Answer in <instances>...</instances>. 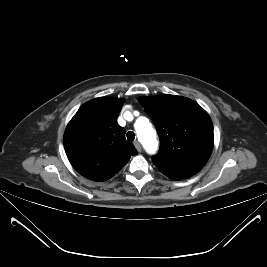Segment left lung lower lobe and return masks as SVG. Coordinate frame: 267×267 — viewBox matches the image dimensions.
Listing matches in <instances>:
<instances>
[{
    "instance_id": "obj_1",
    "label": "left lung lower lobe",
    "mask_w": 267,
    "mask_h": 267,
    "mask_svg": "<svg viewBox=\"0 0 267 267\" xmlns=\"http://www.w3.org/2000/svg\"><path fill=\"white\" fill-rule=\"evenodd\" d=\"M163 174H165V173H163ZM167 177H169L170 179H173V180H180V178H178V177H175V176H173V175H170V174H165Z\"/></svg>"
}]
</instances>
